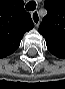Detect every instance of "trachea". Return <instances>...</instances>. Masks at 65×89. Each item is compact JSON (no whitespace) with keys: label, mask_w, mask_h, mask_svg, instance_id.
Segmentation results:
<instances>
[{"label":"trachea","mask_w":65,"mask_h":89,"mask_svg":"<svg viewBox=\"0 0 65 89\" xmlns=\"http://www.w3.org/2000/svg\"><path fill=\"white\" fill-rule=\"evenodd\" d=\"M27 11H34L36 9V2L35 1H29L25 6Z\"/></svg>","instance_id":"1"}]
</instances>
